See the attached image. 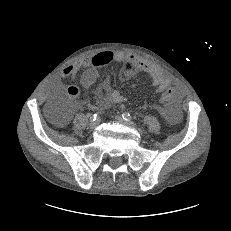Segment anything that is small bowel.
<instances>
[{"label": "small bowel", "instance_id": "c3829d8e", "mask_svg": "<svg viewBox=\"0 0 231 231\" xmlns=\"http://www.w3.org/2000/svg\"><path fill=\"white\" fill-rule=\"evenodd\" d=\"M128 60L134 63L137 67L136 72L122 71L120 78L122 80L129 79L138 73H146L152 82L155 93L164 92L166 86H171L172 78L165 75L164 72L157 66L148 63L141 58L134 55H126L121 51H102L91 55L84 60L66 66L62 73V78L72 77L79 78L80 84L89 88L92 86L99 77V69L112 62H123ZM63 87L62 82L57 80L54 84L55 90H60ZM68 95L76 98L79 95V89L75 86H69L66 89ZM99 97V104L97 108H103L110 104H120L126 101V98L118 91L111 87L109 82H104L100 89L97 91ZM159 112L167 119L170 124H176L180 119V111L176 103H169L165 107L159 108ZM65 122V119L60 123Z\"/></svg>", "mask_w": 231, "mask_h": 231}]
</instances>
